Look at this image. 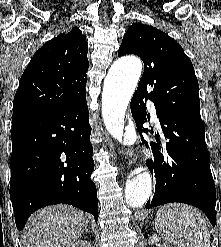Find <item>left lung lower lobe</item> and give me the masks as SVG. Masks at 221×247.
Segmentation results:
<instances>
[{"label":"left lung lower lobe","mask_w":221,"mask_h":247,"mask_svg":"<svg viewBox=\"0 0 221 247\" xmlns=\"http://www.w3.org/2000/svg\"><path fill=\"white\" fill-rule=\"evenodd\" d=\"M130 107L138 130L147 132L143 123L150 115H146L143 98L134 93ZM157 117L161 123V135L168 142L164 149L161 148L160 135L155 133L157 144L150 143L155 161H148L147 166L152 176L155 174L156 185L153 199L145 207L149 209L170 202L190 204L204 211L215 226L216 189L209 166L204 125L165 116L159 111Z\"/></svg>","instance_id":"0a47b994"}]
</instances>
